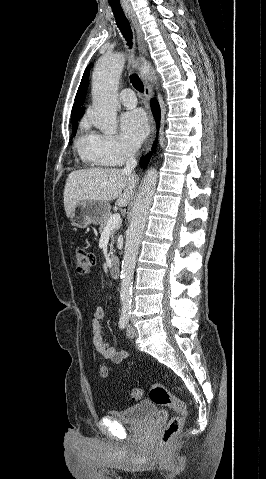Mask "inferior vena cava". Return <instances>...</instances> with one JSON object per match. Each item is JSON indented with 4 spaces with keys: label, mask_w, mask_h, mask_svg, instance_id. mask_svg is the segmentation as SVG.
Segmentation results:
<instances>
[{
    "label": "inferior vena cava",
    "mask_w": 266,
    "mask_h": 479,
    "mask_svg": "<svg viewBox=\"0 0 266 479\" xmlns=\"http://www.w3.org/2000/svg\"><path fill=\"white\" fill-rule=\"evenodd\" d=\"M125 162H126V165L124 167V169L122 170L123 173L125 174H131L133 169L136 167L137 165V160L135 158V153L134 151L130 150L126 153L125 155Z\"/></svg>",
    "instance_id": "inferior-vena-cava-1"
}]
</instances>
